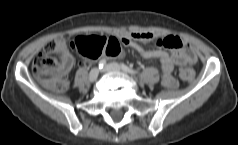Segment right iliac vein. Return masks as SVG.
<instances>
[{
  "mask_svg": "<svg viewBox=\"0 0 238 145\" xmlns=\"http://www.w3.org/2000/svg\"><path fill=\"white\" fill-rule=\"evenodd\" d=\"M100 70L98 68H94L89 73V81L94 82L99 76Z\"/></svg>",
  "mask_w": 238,
  "mask_h": 145,
  "instance_id": "1",
  "label": "right iliac vein"
}]
</instances>
